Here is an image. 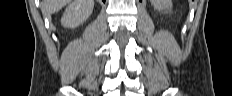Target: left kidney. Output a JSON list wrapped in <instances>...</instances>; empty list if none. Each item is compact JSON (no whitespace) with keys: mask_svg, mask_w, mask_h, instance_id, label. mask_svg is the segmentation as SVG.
<instances>
[{"mask_svg":"<svg viewBox=\"0 0 232 96\" xmlns=\"http://www.w3.org/2000/svg\"><path fill=\"white\" fill-rule=\"evenodd\" d=\"M152 5L158 11L171 10V0H151Z\"/></svg>","mask_w":232,"mask_h":96,"instance_id":"5707ae66","label":"left kidney"}]
</instances>
